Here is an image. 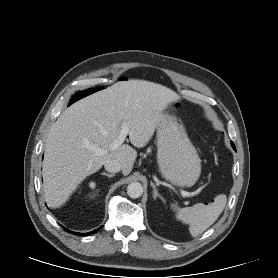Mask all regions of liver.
I'll return each mask as SVG.
<instances>
[{
    "label": "liver",
    "instance_id": "liver-1",
    "mask_svg": "<svg viewBox=\"0 0 278 278\" xmlns=\"http://www.w3.org/2000/svg\"><path fill=\"white\" fill-rule=\"evenodd\" d=\"M178 95L165 86L144 81L118 82L71 105L51 127L42 164L43 189L49 207L59 208L89 175L108 160L122 165L128 175L137 157L136 150L110 144L123 126L131 144L144 147L152 138L164 109L177 102ZM94 148L107 150L96 155Z\"/></svg>",
    "mask_w": 278,
    "mask_h": 278
}]
</instances>
